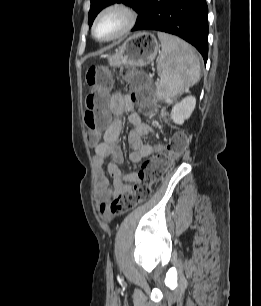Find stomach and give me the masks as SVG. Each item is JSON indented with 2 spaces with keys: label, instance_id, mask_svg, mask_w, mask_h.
<instances>
[{
  "label": "stomach",
  "instance_id": "stomach-1",
  "mask_svg": "<svg viewBox=\"0 0 261 306\" xmlns=\"http://www.w3.org/2000/svg\"><path fill=\"white\" fill-rule=\"evenodd\" d=\"M159 51V43L149 32H139L130 36L115 53L108 57L111 67H143L154 61Z\"/></svg>",
  "mask_w": 261,
  "mask_h": 306
}]
</instances>
